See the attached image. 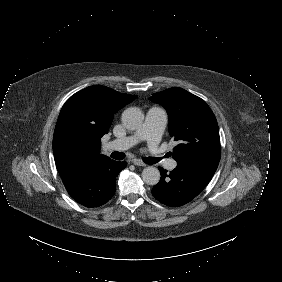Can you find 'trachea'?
<instances>
[{
	"label": "trachea",
	"mask_w": 282,
	"mask_h": 282,
	"mask_svg": "<svg viewBox=\"0 0 282 282\" xmlns=\"http://www.w3.org/2000/svg\"><path fill=\"white\" fill-rule=\"evenodd\" d=\"M113 159H116V160H123L125 158V154L122 153V152H112L111 155H110ZM163 159L162 157H147V158H144V163L146 162L147 164H156V163H159L161 162Z\"/></svg>",
	"instance_id": "trachea-1"
}]
</instances>
